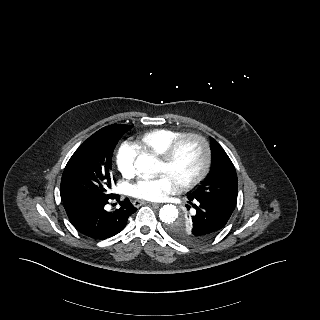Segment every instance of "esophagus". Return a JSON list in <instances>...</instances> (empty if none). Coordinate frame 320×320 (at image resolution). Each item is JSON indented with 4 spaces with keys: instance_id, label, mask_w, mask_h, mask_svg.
Listing matches in <instances>:
<instances>
[{
    "instance_id": "esophagus-1",
    "label": "esophagus",
    "mask_w": 320,
    "mask_h": 320,
    "mask_svg": "<svg viewBox=\"0 0 320 320\" xmlns=\"http://www.w3.org/2000/svg\"><path fill=\"white\" fill-rule=\"evenodd\" d=\"M143 204H151V205H153V206H159L160 204H157V203H151V202H146V201H141V200H135L134 202H133V205L135 206V207H139V206H141V205H143Z\"/></svg>"
}]
</instances>
